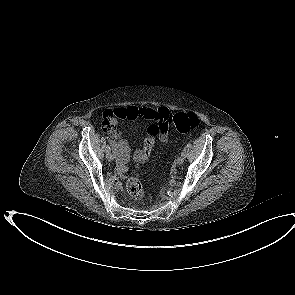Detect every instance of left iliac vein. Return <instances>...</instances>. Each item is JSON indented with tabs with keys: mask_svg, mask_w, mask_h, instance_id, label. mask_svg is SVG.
Returning a JSON list of instances; mask_svg holds the SVG:
<instances>
[{
	"mask_svg": "<svg viewBox=\"0 0 295 295\" xmlns=\"http://www.w3.org/2000/svg\"><path fill=\"white\" fill-rule=\"evenodd\" d=\"M184 162V157L183 156H179L176 160V163L178 166L182 165Z\"/></svg>",
	"mask_w": 295,
	"mask_h": 295,
	"instance_id": "obj_1",
	"label": "left iliac vein"
}]
</instances>
